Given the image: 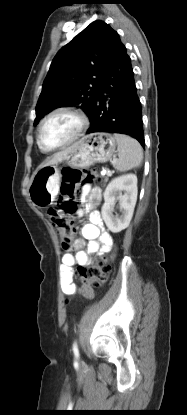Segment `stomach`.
I'll return each instance as SVG.
<instances>
[{"mask_svg":"<svg viewBox=\"0 0 187 415\" xmlns=\"http://www.w3.org/2000/svg\"><path fill=\"white\" fill-rule=\"evenodd\" d=\"M117 141L106 132L85 136L74 144L70 153L62 160L69 167L84 168L93 163H105L115 153ZM60 170L58 163L40 167L31 178L28 194L38 208L51 205L59 189Z\"/></svg>","mask_w":187,"mask_h":415,"instance_id":"obj_1","label":"stomach"}]
</instances>
